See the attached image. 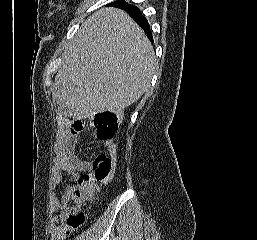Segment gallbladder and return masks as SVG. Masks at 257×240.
<instances>
[{"instance_id": "gallbladder-1", "label": "gallbladder", "mask_w": 257, "mask_h": 240, "mask_svg": "<svg viewBox=\"0 0 257 240\" xmlns=\"http://www.w3.org/2000/svg\"><path fill=\"white\" fill-rule=\"evenodd\" d=\"M57 105H58V111L59 112H61V113H63V114H65L66 112H67V107L65 106V105H63V104H58L57 103Z\"/></svg>"}]
</instances>
